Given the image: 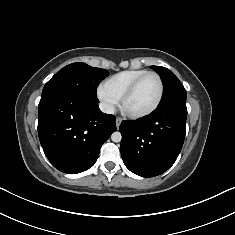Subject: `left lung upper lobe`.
<instances>
[{
    "label": "left lung upper lobe",
    "instance_id": "left-lung-upper-lobe-1",
    "mask_svg": "<svg viewBox=\"0 0 235 235\" xmlns=\"http://www.w3.org/2000/svg\"><path fill=\"white\" fill-rule=\"evenodd\" d=\"M152 68L160 75L164 85V94L159 106L176 101L186 102V91L179 79L165 67L152 66Z\"/></svg>",
    "mask_w": 235,
    "mask_h": 235
}]
</instances>
